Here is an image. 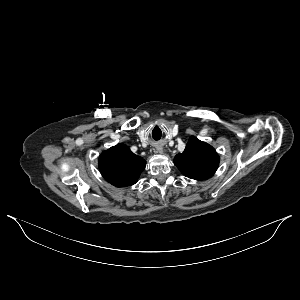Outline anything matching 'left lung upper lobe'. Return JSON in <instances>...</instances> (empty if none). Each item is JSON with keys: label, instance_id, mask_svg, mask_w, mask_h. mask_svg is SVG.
<instances>
[{"label": "left lung upper lobe", "instance_id": "5c2ea615", "mask_svg": "<svg viewBox=\"0 0 300 300\" xmlns=\"http://www.w3.org/2000/svg\"><path fill=\"white\" fill-rule=\"evenodd\" d=\"M174 164L186 177L201 181L214 175L219 156L211 145L192 136L183 153L175 156Z\"/></svg>", "mask_w": 300, "mask_h": 300}]
</instances>
